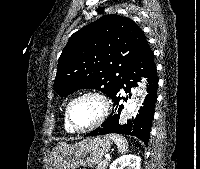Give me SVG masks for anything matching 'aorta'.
Wrapping results in <instances>:
<instances>
[{
    "label": "aorta",
    "instance_id": "1",
    "mask_svg": "<svg viewBox=\"0 0 200 169\" xmlns=\"http://www.w3.org/2000/svg\"><path fill=\"white\" fill-rule=\"evenodd\" d=\"M143 93V90L142 89H140L139 91H138V96L139 95H141ZM137 98H136V100H133L128 106H127V112L128 113H133L134 111H135V109H136V107H137Z\"/></svg>",
    "mask_w": 200,
    "mask_h": 169
}]
</instances>
